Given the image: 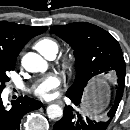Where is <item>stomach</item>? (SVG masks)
Segmentation results:
<instances>
[{"instance_id":"0dacf381","label":"stomach","mask_w":130,"mask_h":130,"mask_svg":"<svg viewBox=\"0 0 130 130\" xmlns=\"http://www.w3.org/2000/svg\"><path fill=\"white\" fill-rule=\"evenodd\" d=\"M108 93L102 87L91 89L87 94L84 103V113L94 115L100 112L107 103Z\"/></svg>"}]
</instances>
